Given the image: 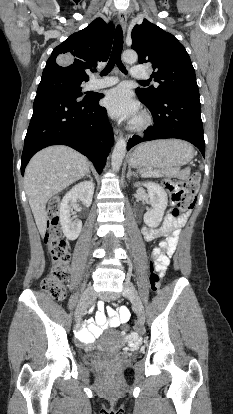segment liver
<instances>
[{"mask_svg":"<svg viewBox=\"0 0 233 414\" xmlns=\"http://www.w3.org/2000/svg\"><path fill=\"white\" fill-rule=\"evenodd\" d=\"M90 171L88 159L67 146H51L36 153L25 169L24 186L41 236L45 235L48 200Z\"/></svg>","mask_w":233,"mask_h":414,"instance_id":"1","label":"liver"}]
</instances>
